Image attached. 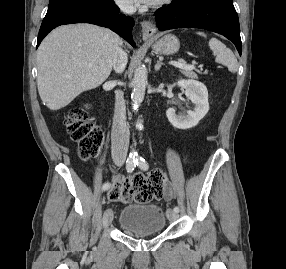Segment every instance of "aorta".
Wrapping results in <instances>:
<instances>
[{"label": "aorta", "mask_w": 286, "mask_h": 269, "mask_svg": "<svg viewBox=\"0 0 286 269\" xmlns=\"http://www.w3.org/2000/svg\"><path fill=\"white\" fill-rule=\"evenodd\" d=\"M133 90L131 94L132 104L134 108H137L139 104L143 101L145 96V89L147 85V69L145 66H139L133 77ZM135 151L132 152V155H135Z\"/></svg>", "instance_id": "762f6f07"}]
</instances>
